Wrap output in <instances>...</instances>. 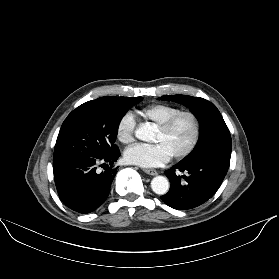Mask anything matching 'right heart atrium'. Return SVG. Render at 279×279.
Masks as SVG:
<instances>
[{"instance_id": "obj_1", "label": "right heart atrium", "mask_w": 279, "mask_h": 279, "mask_svg": "<svg viewBox=\"0 0 279 279\" xmlns=\"http://www.w3.org/2000/svg\"><path fill=\"white\" fill-rule=\"evenodd\" d=\"M136 129V120L131 112L124 113L118 120L116 126L117 139L123 144H129L134 141Z\"/></svg>"}]
</instances>
